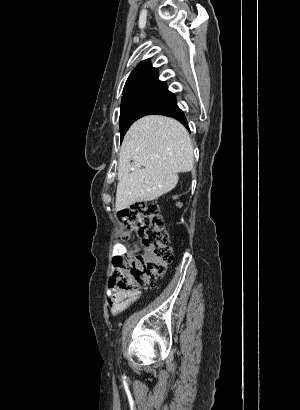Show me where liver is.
I'll return each mask as SVG.
<instances>
[{
	"instance_id": "1",
	"label": "liver",
	"mask_w": 300,
	"mask_h": 410,
	"mask_svg": "<svg viewBox=\"0 0 300 410\" xmlns=\"http://www.w3.org/2000/svg\"><path fill=\"white\" fill-rule=\"evenodd\" d=\"M131 160L143 168L131 172ZM193 162L191 138L181 123L160 115L137 120L120 150L116 211L170 192L178 173L191 171Z\"/></svg>"
}]
</instances>
